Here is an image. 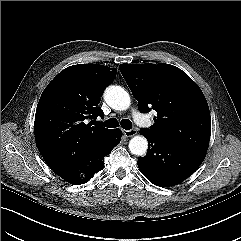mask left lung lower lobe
Here are the masks:
<instances>
[{
    "label": "left lung lower lobe",
    "mask_w": 241,
    "mask_h": 241,
    "mask_svg": "<svg viewBox=\"0 0 241 241\" xmlns=\"http://www.w3.org/2000/svg\"><path fill=\"white\" fill-rule=\"evenodd\" d=\"M148 140L146 156L138 159L141 173L154 185L168 187L192 175L205 158L203 151L166 142L140 130Z\"/></svg>",
    "instance_id": "obj_1"
}]
</instances>
